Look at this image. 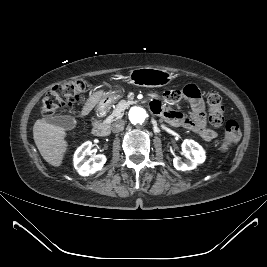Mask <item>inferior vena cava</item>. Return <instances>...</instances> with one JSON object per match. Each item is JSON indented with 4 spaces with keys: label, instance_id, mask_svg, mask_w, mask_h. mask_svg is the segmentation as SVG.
<instances>
[{
    "label": "inferior vena cava",
    "instance_id": "1",
    "mask_svg": "<svg viewBox=\"0 0 267 267\" xmlns=\"http://www.w3.org/2000/svg\"><path fill=\"white\" fill-rule=\"evenodd\" d=\"M125 122L124 120H117L111 126L112 132L118 133L124 129Z\"/></svg>",
    "mask_w": 267,
    "mask_h": 267
}]
</instances>
